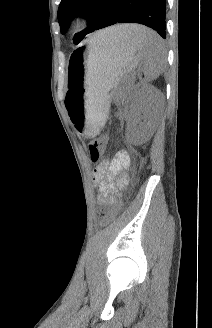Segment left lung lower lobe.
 <instances>
[{"instance_id": "left-lung-lower-lobe-1", "label": "left lung lower lobe", "mask_w": 212, "mask_h": 328, "mask_svg": "<svg viewBox=\"0 0 212 328\" xmlns=\"http://www.w3.org/2000/svg\"><path fill=\"white\" fill-rule=\"evenodd\" d=\"M166 0H106L95 30L117 23H139L166 38Z\"/></svg>"}]
</instances>
